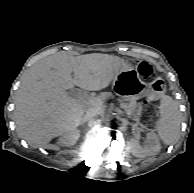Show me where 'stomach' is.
Returning a JSON list of instances; mask_svg holds the SVG:
<instances>
[{"mask_svg":"<svg viewBox=\"0 0 194 193\" xmlns=\"http://www.w3.org/2000/svg\"><path fill=\"white\" fill-rule=\"evenodd\" d=\"M113 86L125 97H148L157 100L164 96L166 85L162 78L157 77L150 83L143 82L135 69L119 72L113 81Z\"/></svg>","mask_w":194,"mask_h":193,"instance_id":"1","label":"stomach"}]
</instances>
